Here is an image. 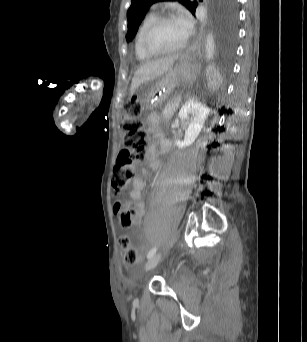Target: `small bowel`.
Here are the masks:
<instances>
[{
	"label": "small bowel",
	"mask_w": 307,
	"mask_h": 342,
	"mask_svg": "<svg viewBox=\"0 0 307 342\" xmlns=\"http://www.w3.org/2000/svg\"><path fill=\"white\" fill-rule=\"evenodd\" d=\"M150 130L156 133L160 137V148L158 149L155 145H151L147 151V163L150 169L156 170L160 167V153L169 150L171 143L168 139L163 137L155 128L150 125ZM144 176H148V171L142 169ZM144 179L141 177H136L132 181V186L129 191L130 198L136 209V216L133 221V225L138 226L141 224L143 216L145 214V204L142 198V190L144 188Z\"/></svg>",
	"instance_id": "obj_1"
}]
</instances>
